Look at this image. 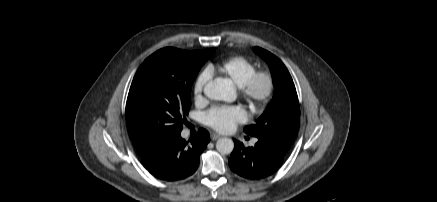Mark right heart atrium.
<instances>
[{"instance_id":"right-heart-atrium-1","label":"right heart atrium","mask_w":437,"mask_h":202,"mask_svg":"<svg viewBox=\"0 0 437 202\" xmlns=\"http://www.w3.org/2000/svg\"><path fill=\"white\" fill-rule=\"evenodd\" d=\"M209 77H210V75H209V72L207 70L201 72L198 75V77L194 83V88H193L194 95L196 98H198V99L201 98L203 91H204V88H205V85L207 84V82L209 80Z\"/></svg>"}]
</instances>
